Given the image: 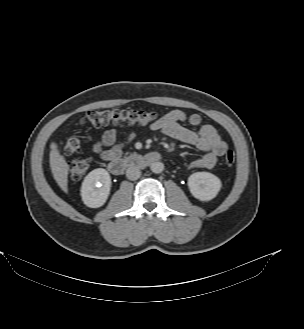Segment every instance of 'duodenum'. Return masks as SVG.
<instances>
[{
    "instance_id": "410a0bca",
    "label": "duodenum",
    "mask_w": 304,
    "mask_h": 329,
    "mask_svg": "<svg viewBox=\"0 0 304 329\" xmlns=\"http://www.w3.org/2000/svg\"><path fill=\"white\" fill-rule=\"evenodd\" d=\"M161 155L152 151L144 154L130 153L123 159L112 160L109 165V171L114 175H121L129 167H143L158 161Z\"/></svg>"
}]
</instances>
